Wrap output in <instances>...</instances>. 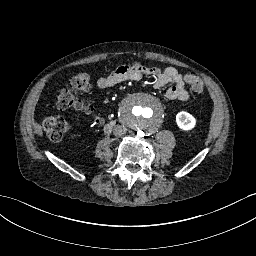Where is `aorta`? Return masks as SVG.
<instances>
[{
  "instance_id": "obj_1",
  "label": "aorta",
  "mask_w": 256,
  "mask_h": 256,
  "mask_svg": "<svg viewBox=\"0 0 256 256\" xmlns=\"http://www.w3.org/2000/svg\"><path fill=\"white\" fill-rule=\"evenodd\" d=\"M124 119L131 129L137 132H148L158 125L161 119V108L154 98L148 95H137L127 102L124 108Z\"/></svg>"
}]
</instances>
